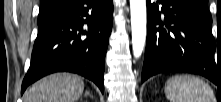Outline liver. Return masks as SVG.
Segmentation results:
<instances>
[{"label": "liver", "mask_w": 221, "mask_h": 102, "mask_svg": "<svg viewBox=\"0 0 221 102\" xmlns=\"http://www.w3.org/2000/svg\"><path fill=\"white\" fill-rule=\"evenodd\" d=\"M84 91L82 79L74 74L56 73L36 82L25 92L24 102H76Z\"/></svg>", "instance_id": "1"}]
</instances>
